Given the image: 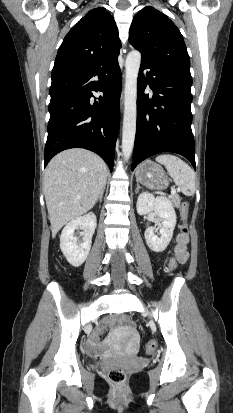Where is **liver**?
Here are the masks:
<instances>
[{"label": "liver", "instance_id": "6515ba94", "mask_svg": "<svg viewBox=\"0 0 233 413\" xmlns=\"http://www.w3.org/2000/svg\"><path fill=\"white\" fill-rule=\"evenodd\" d=\"M106 179L105 162L86 149L65 150L49 162L44 195L53 238L67 222L93 208Z\"/></svg>", "mask_w": 233, "mask_h": 413}]
</instances>
